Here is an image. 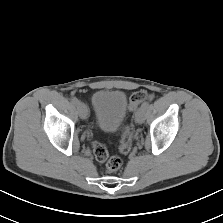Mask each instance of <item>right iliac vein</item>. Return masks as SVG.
<instances>
[{
	"instance_id": "obj_1",
	"label": "right iliac vein",
	"mask_w": 223,
	"mask_h": 223,
	"mask_svg": "<svg viewBox=\"0 0 223 223\" xmlns=\"http://www.w3.org/2000/svg\"><path fill=\"white\" fill-rule=\"evenodd\" d=\"M77 108H78L80 117L82 119H86L88 116V110H87V107L85 106V104L82 102H78Z\"/></svg>"
}]
</instances>
